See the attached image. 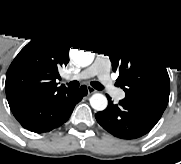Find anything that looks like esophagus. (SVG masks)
<instances>
[{"label": "esophagus", "instance_id": "esophagus-1", "mask_svg": "<svg viewBox=\"0 0 181 164\" xmlns=\"http://www.w3.org/2000/svg\"><path fill=\"white\" fill-rule=\"evenodd\" d=\"M87 90H88V95H91L96 92V90L92 88L91 86H87Z\"/></svg>", "mask_w": 181, "mask_h": 164}]
</instances>
